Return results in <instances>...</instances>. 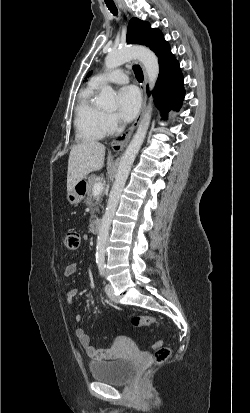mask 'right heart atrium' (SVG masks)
<instances>
[{"label": "right heart atrium", "instance_id": "right-heart-atrium-1", "mask_svg": "<svg viewBox=\"0 0 250 413\" xmlns=\"http://www.w3.org/2000/svg\"><path fill=\"white\" fill-rule=\"evenodd\" d=\"M122 128V123L118 115L114 112H104L103 130L104 134H112Z\"/></svg>", "mask_w": 250, "mask_h": 413}]
</instances>
